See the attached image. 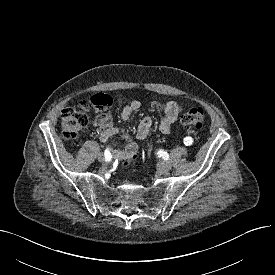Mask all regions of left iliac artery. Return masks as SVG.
<instances>
[{
	"label": "left iliac artery",
	"mask_w": 275,
	"mask_h": 275,
	"mask_svg": "<svg viewBox=\"0 0 275 275\" xmlns=\"http://www.w3.org/2000/svg\"><path fill=\"white\" fill-rule=\"evenodd\" d=\"M192 143H193V138L192 137L187 136V137L184 138V144L186 146H190V145H192Z\"/></svg>",
	"instance_id": "1"
}]
</instances>
